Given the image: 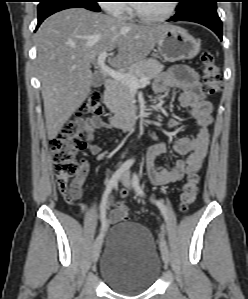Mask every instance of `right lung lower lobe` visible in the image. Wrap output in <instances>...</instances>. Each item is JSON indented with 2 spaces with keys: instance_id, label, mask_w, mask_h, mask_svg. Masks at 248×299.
Masks as SVG:
<instances>
[{
  "instance_id": "98d812e1",
  "label": "right lung lower lobe",
  "mask_w": 248,
  "mask_h": 299,
  "mask_svg": "<svg viewBox=\"0 0 248 299\" xmlns=\"http://www.w3.org/2000/svg\"><path fill=\"white\" fill-rule=\"evenodd\" d=\"M75 7H83V6L76 5V4H61V5L54 6L53 8H50V9L42 12L41 14H38V25H37L36 29L39 27V25L43 22L44 19H46L48 16L52 15L53 13H56V12L64 10V9L75 8ZM86 9H88V8H86ZM88 10H90V9H88Z\"/></svg>"
}]
</instances>
